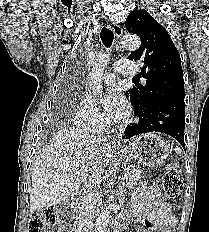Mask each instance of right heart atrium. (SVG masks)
<instances>
[{
	"label": "right heart atrium",
	"instance_id": "d8ad5b80",
	"mask_svg": "<svg viewBox=\"0 0 209 232\" xmlns=\"http://www.w3.org/2000/svg\"><path fill=\"white\" fill-rule=\"evenodd\" d=\"M74 124L82 130L96 131L106 124V119L89 96H83L73 114Z\"/></svg>",
	"mask_w": 209,
	"mask_h": 232
}]
</instances>
